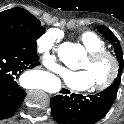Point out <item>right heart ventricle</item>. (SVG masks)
<instances>
[{
  "mask_svg": "<svg viewBox=\"0 0 124 124\" xmlns=\"http://www.w3.org/2000/svg\"><path fill=\"white\" fill-rule=\"evenodd\" d=\"M78 40L88 52L106 48L104 39L93 31H85L81 33Z\"/></svg>",
  "mask_w": 124,
  "mask_h": 124,
  "instance_id": "e07e8e85",
  "label": "right heart ventricle"
}]
</instances>
